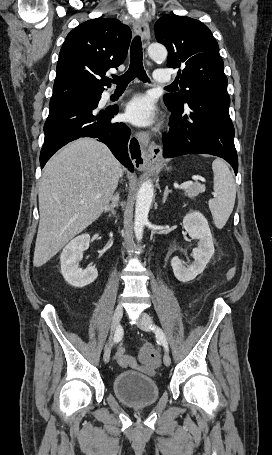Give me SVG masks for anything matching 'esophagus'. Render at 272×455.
Wrapping results in <instances>:
<instances>
[{
	"label": "esophagus",
	"mask_w": 272,
	"mask_h": 455,
	"mask_svg": "<svg viewBox=\"0 0 272 455\" xmlns=\"http://www.w3.org/2000/svg\"><path fill=\"white\" fill-rule=\"evenodd\" d=\"M134 30L141 36L145 45L149 42L150 30L145 18H141L134 24ZM130 152L134 166L138 170H144L159 160L162 154L161 146L150 140V134L146 131L136 133L130 142Z\"/></svg>",
	"instance_id": "obj_1"
}]
</instances>
